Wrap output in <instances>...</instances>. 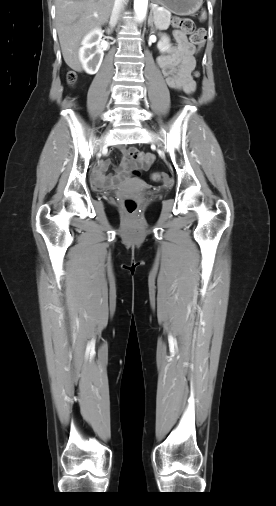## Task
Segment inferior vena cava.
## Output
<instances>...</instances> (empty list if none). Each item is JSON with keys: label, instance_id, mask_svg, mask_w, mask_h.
I'll list each match as a JSON object with an SVG mask.
<instances>
[{"label": "inferior vena cava", "instance_id": "1", "mask_svg": "<svg viewBox=\"0 0 276 506\" xmlns=\"http://www.w3.org/2000/svg\"><path fill=\"white\" fill-rule=\"evenodd\" d=\"M124 2H125V0H114V6H113L111 18H110L111 26H114L116 24L117 19H118V15H119L121 9L123 8Z\"/></svg>", "mask_w": 276, "mask_h": 506}]
</instances>
